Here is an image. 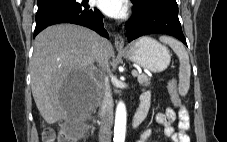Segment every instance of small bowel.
<instances>
[{
  "label": "small bowel",
  "mask_w": 227,
  "mask_h": 142,
  "mask_svg": "<svg viewBox=\"0 0 227 142\" xmlns=\"http://www.w3.org/2000/svg\"><path fill=\"white\" fill-rule=\"evenodd\" d=\"M151 93L145 92L141 96V102L147 104L150 107ZM178 113L172 108H167L164 112H157L154 114V119L157 123L163 125L164 134L172 142H190L188 131L190 129V117L186 108L179 104L177 105ZM178 116V131L175 130L173 124ZM151 131L149 129L144 130L141 133V137L136 142H148L151 138Z\"/></svg>",
  "instance_id": "c3829d8e"
}]
</instances>
